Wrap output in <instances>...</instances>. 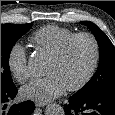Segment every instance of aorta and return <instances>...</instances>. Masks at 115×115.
<instances>
[{"instance_id": "obj_1", "label": "aorta", "mask_w": 115, "mask_h": 115, "mask_svg": "<svg viewBox=\"0 0 115 115\" xmlns=\"http://www.w3.org/2000/svg\"><path fill=\"white\" fill-rule=\"evenodd\" d=\"M46 62L43 58L32 56L28 61V68L32 74L40 75L44 72ZM45 115H65V111L59 104H49L45 109Z\"/></svg>"}]
</instances>
